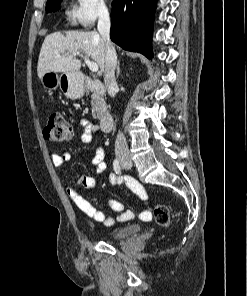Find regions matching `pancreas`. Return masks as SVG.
Returning a JSON list of instances; mask_svg holds the SVG:
<instances>
[{
	"instance_id": "pancreas-1",
	"label": "pancreas",
	"mask_w": 247,
	"mask_h": 296,
	"mask_svg": "<svg viewBox=\"0 0 247 296\" xmlns=\"http://www.w3.org/2000/svg\"><path fill=\"white\" fill-rule=\"evenodd\" d=\"M92 116L94 119L100 118L102 113L106 111V104L103 98L93 95L92 96Z\"/></svg>"
}]
</instances>
